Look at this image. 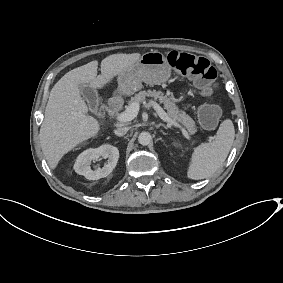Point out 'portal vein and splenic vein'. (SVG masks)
<instances>
[{"instance_id": "obj_1", "label": "portal vein and splenic vein", "mask_w": 283, "mask_h": 283, "mask_svg": "<svg viewBox=\"0 0 283 283\" xmlns=\"http://www.w3.org/2000/svg\"><path fill=\"white\" fill-rule=\"evenodd\" d=\"M153 108L155 109V111L158 113L159 117L164 120L165 122H168V125H174L178 128H182L180 124H178L177 122H175L174 120H172L167 114L166 112L156 103L153 102ZM139 111V104L138 103H132L130 104L126 110L124 112H121L120 114H118L117 116V120L120 122H128L133 120ZM183 130V128H182ZM213 139V137H210L209 140L211 141Z\"/></svg>"}]
</instances>
